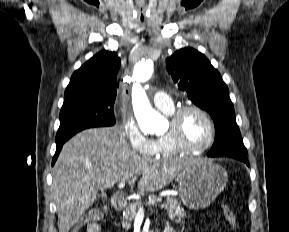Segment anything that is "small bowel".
I'll use <instances>...</instances> for the list:
<instances>
[{
  "instance_id": "obj_1",
  "label": "small bowel",
  "mask_w": 289,
  "mask_h": 232,
  "mask_svg": "<svg viewBox=\"0 0 289 232\" xmlns=\"http://www.w3.org/2000/svg\"><path fill=\"white\" fill-rule=\"evenodd\" d=\"M87 232H103L102 226L98 222H91L87 225ZM163 232H175V230L167 226L164 228Z\"/></svg>"
}]
</instances>
